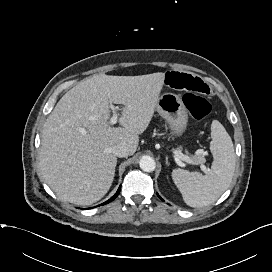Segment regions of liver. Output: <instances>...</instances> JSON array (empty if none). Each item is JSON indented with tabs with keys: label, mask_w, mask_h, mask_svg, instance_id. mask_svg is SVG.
Masks as SVG:
<instances>
[{
	"label": "liver",
	"mask_w": 272,
	"mask_h": 272,
	"mask_svg": "<svg viewBox=\"0 0 272 272\" xmlns=\"http://www.w3.org/2000/svg\"><path fill=\"white\" fill-rule=\"evenodd\" d=\"M165 74L94 75L58 101L46 119L40 170L62 201L91 205L110 189L117 157L112 149L126 144L133 155L160 98ZM109 102L124 105L119 124L109 123Z\"/></svg>",
	"instance_id": "liver-1"
}]
</instances>
